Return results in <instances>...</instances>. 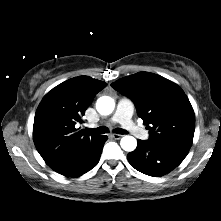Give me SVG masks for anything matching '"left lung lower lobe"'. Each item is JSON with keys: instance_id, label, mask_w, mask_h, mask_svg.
<instances>
[{"instance_id": "0a47b994", "label": "left lung lower lobe", "mask_w": 221, "mask_h": 221, "mask_svg": "<svg viewBox=\"0 0 221 221\" xmlns=\"http://www.w3.org/2000/svg\"><path fill=\"white\" fill-rule=\"evenodd\" d=\"M187 149L149 140H138L137 148L128 153L130 164L141 173L159 177L180 165L188 154Z\"/></svg>"}]
</instances>
